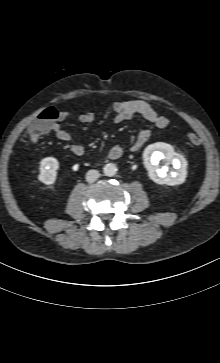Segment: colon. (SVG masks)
Segmentation results:
<instances>
[{"label":"colon","instance_id":"colon-1","mask_svg":"<svg viewBox=\"0 0 220 363\" xmlns=\"http://www.w3.org/2000/svg\"><path fill=\"white\" fill-rule=\"evenodd\" d=\"M58 118L59 113L54 107L43 109L27 127L26 134L28 139L35 140L49 132L52 129L53 123L57 121ZM187 139L193 145H199L201 143V139L195 133H189Z\"/></svg>","mask_w":220,"mask_h":363}]
</instances>
